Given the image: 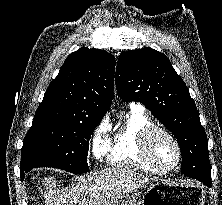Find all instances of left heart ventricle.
<instances>
[{
  "label": "left heart ventricle",
  "instance_id": "left-heart-ventricle-1",
  "mask_svg": "<svg viewBox=\"0 0 222 205\" xmlns=\"http://www.w3.org/2000/svg\"><path fill=\"white\" fill-rule=\"evenodd\" d=\"M149 147L153 158L163 167H171L177 158V151L173 142L161 133L154 134L150 141Z\"/></svg>",
  "mask_w": 222,
  "mask_h": 205
}]
</instances>
